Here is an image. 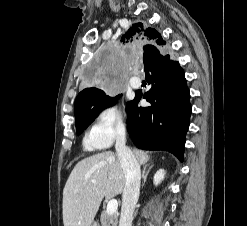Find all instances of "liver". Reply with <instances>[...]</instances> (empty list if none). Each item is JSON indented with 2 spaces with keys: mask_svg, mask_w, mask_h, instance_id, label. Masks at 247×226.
I'll list each match as a JSON object with an SVG mask.
<instances>
[{
  "mask_svg": "<svg viewBox=\"0 0 247 226\" xmlns=\"http://www.w3.org/2000/svg\"><path fill=\"white\" fill-rule=\"evenodd\" d=\"M133 153L141 165L150 159L144 151L135 149ZM124 187L120 159L113 152L99 153L79 161L63 190L64 226H91L103 198L111 199L121 194Z\"/></svg>",
  "mask_w": 247,
  "mask_h": 226,
  "instance_id": "6515ba94",
  "label": "liver"
}]
</instances>
